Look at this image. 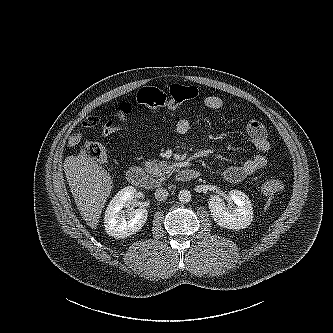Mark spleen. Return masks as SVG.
Here are the masks:
<instances>
[{
    "mask_svg": "<svg viewBox=\"0 0 333 333\" xmlns=\"http://www.w3.org/2000/svg\"><path fill=\"white\" fill-rule=\"evenodd\" d=\"M270 202H271V199L269 198V199H268V202H267V204H266V206H265V208H264L265 210L269 207Z\"/></svg>",
    "mask_w": 333,
    "mask_h": 333,
    "instance_id": "1",
    "label": "spleen"
}]
</instances>
